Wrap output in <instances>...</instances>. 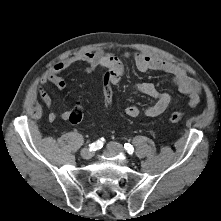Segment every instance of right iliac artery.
<instances>
[{"mask_svg": "<svg viewBox=\"0 0 221 221\" xmlns=\"http://www.w3.org/2000/svg\"><path fill=\"white\" fill-rule=\"evenodd\" d=\"M104 138L97 140L96 142L92 143L90 146V150H97L103 147Z\"/></svg>", "mask_w": 221, "mask_h": 221, "instance_id": "1", "label": "right iliac artery"}]
</instances>
